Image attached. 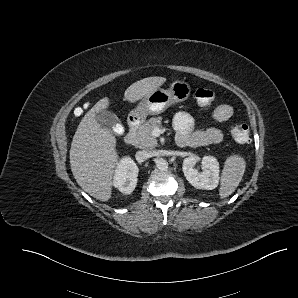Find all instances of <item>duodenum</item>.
I'll list each match as a JSON object with an SVG mask.
<instances>
[{
    "label": "duodenum",
    "instance_id": "obj_1",
    "mask_svg": "<svg viewBox=\"0 0 298 298\" xmlns=\"http://www.w3.org/2000/svg\"><path fill=\"white\" fill-rule=\"evenodd\" d=\"M139 125L137 117H131L128 122V131L124 136V141L129 145L136 143V133ZM176 143L180 147H196L202 145V140L195 135L187 133H178L176 136Z\"/></svg>",
    "mask_w": 298,
    "mask_h": 298
}]
</instances>
